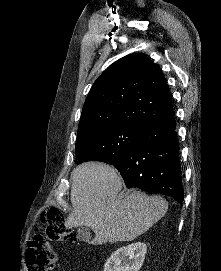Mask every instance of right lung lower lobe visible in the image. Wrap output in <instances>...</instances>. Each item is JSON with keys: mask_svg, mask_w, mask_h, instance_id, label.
I'll use <instances>...</instances> for the list:
<instances>
[{"mask_svg": "<svg viewBox=\"0 0 221 271\" xmlns=\"http://www.w3.org/2000/svg\"><path fill=\"white\" fill-rule=\"evenodd\" d=\"M174 113L147 126L138 143L114 165L127 188L164 193L182 203L179 145Z\"/></svg>", "mask_w": 221, "mask_h": 271, "instance_id": "1", "label": "right lung lower lobe"}]
</instances>
